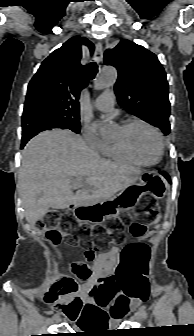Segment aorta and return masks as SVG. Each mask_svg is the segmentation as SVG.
<instances>
[{
	"label": "aorta",
	"instance_id": "obj_1",
	"mask_svg": "<svg viewBox=\"0 0 194 336\" xmlns=\"http://www.w3.org/2000/svg\"><path fill=\"white\" fill-rule=\"evenodd\" d=\"M117 79L116 69L112 66H105L101 69L95 83L94 88L101 90L112 86ZM93 126L98 130L100 136L104 139H110L113 136V128L104 122L93 123Z\"/></svg>",
	"mask_w": 194,
	"mask_h": 336
}]
</instances>
